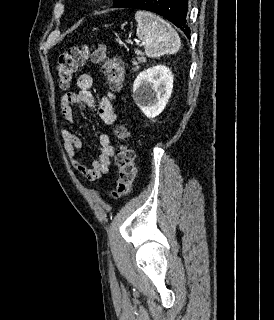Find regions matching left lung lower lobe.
Here are the masks:
<instances>
[{
    "mask_svg": "<svg viewBox=\"0 0 274 320\" xmlns=\"http://www.w3.org/2000/svg\"><path fill=\"white\" fill-rule=\"evenodd\" d=\"M123 8L155 12L179 27L187 37L190 36L187 19L188 0H129Z\"/></svg>",
    "mask_w": 274,
    "mask_h": 320,
    "instance_id": "obj_1",
    "label": "left lung lower lobe"
}]
</instances>
